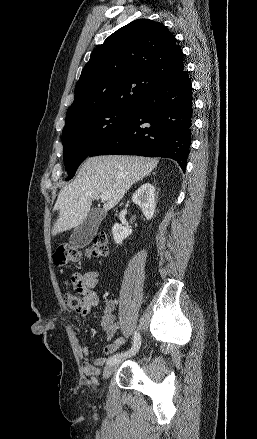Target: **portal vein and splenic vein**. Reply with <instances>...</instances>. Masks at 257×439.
Segmentation results:
<instances>
[{
  "label": "portal vein and splenic vein",
  "mask_w": 257,
  "mask_h": 439,
  "mask_svg": "<svg viewBox=\"0 0 257 439\" xmlns=\"http://www.w3.org/2000/svg\"><path fill=\"white\" fill-rule=\"evenodd\" d=\"M100 199L102 201H108L110 199V195L107 194V193H103V194L100 195Z\"/></svg>",
  "instance_id": "portal-vein-and-splenic-vein-1"
}]
</instances>
